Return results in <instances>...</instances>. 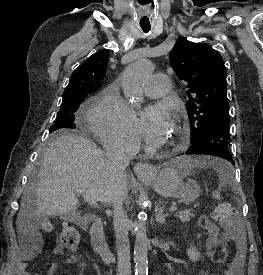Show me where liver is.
Listing matches in <instances>:
<instances>
[{"label": "liver", "instance_id": "liver-1", "mask_svg": "<svg viewBox=\"0 0 263 275\" xmlns=\"http://www.w3.org/2000/svg\"><path fill=\"white\" fill-rule=\"evenodd\" d=\"M79 190L103 204L113 203L117 195H127V185L114 178L104 152L94 142L64 133L46 148L37 183L25 189L17 227L33 218L60 216L75 220Z\"/></svg>", "mask_w": 263, "mask_h": 275}]
</instances>
